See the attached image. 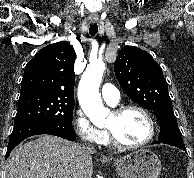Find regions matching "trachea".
Here are the masks:
<instances>
[{
  "instance_id": "trachea-1",
  "label": "trachea",
  "mask_w": 194,
  "mask_h": 178,
  "mask_svg": "<svg viewBox=\"0 0 194 178\" xmlns=\"http://www.w3.org/2000/svg\"><path fill=\"white\" fill-rule=\"evenodd\" d=\"M97 32H98V25L97 24L90 25V28H89L90 35L95 36Z\"/></svg>"
}]
</instances>
